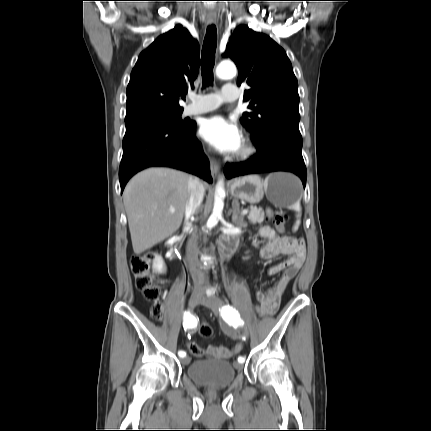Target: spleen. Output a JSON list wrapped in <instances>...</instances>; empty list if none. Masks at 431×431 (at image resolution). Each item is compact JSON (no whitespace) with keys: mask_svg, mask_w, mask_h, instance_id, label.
<instances>
[{"mask_svg":"<svg viewBox=\"0 0 431 431\" xmlns=\"http://www.w3.org/2000/svg\"><path fill=\"white\" fill-rule=\"evenodd\" d=\"M267 181V178L265 179V182ZM292 209H294L297 212V220L296 223L293 227V230L296 231L300 225V216H301V205H300V200L298 202H296L295 204L292 205L291 207Z\"/></svg>","mask_w":431,"mask_h":431,"instance_id":"1","label":"spleen"}]
</instances>
